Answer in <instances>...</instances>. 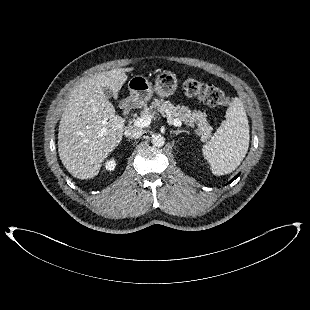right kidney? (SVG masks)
<instances>
[{
	"instance_id": "obj_1",
	"label": "right kidney",
	"mask_w": 310,
	"mask_h": 310,
	"mask_svg": "<svg viewBox=\"0 0 310 310\" xmlns=\"http://www.w3.org/2000/svg\"><path fill=\"white\" fill-rule=\"evenodd\" d=\"M116 167V161L111 159L105 163V169L108 171H113Z\"/></svg>"
}]
</instances>
